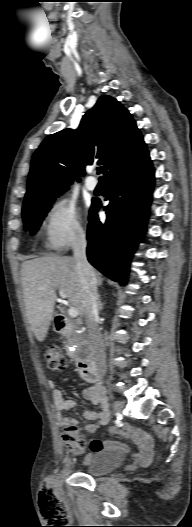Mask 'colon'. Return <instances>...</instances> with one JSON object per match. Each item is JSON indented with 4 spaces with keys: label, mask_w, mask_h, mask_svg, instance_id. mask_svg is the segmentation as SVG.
<instances>
[{
    "label": "colon",
    "mask_w": 192,
    "mask_h": 527,
    "mask_svg": "<svg viewBox=\"0 0 192 527\" xmlns=\"http://www.w3.org/2000/svg\"><path fill=\"white\" fill-rule=\"evenodd\" d=\"M47 367L54 372H62L68 368V361L62 355L58 347H49L45 352ZM62 440L66 448L75 454H81L86 448V440L81 436L76 424L65 428ZM50 480H46L41 490L43 508L46 511L49 504L57 503Z\"/></svg>",
    "instance_id": "obj_1"
}]
</instances>
